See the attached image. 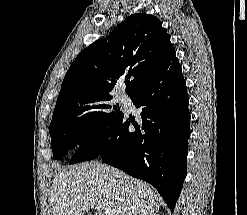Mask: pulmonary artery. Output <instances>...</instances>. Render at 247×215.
<instances>
[{
  "label": "pulmonary artery",
  "instance_id": "pulmonary-artery-1",
  "mask_svg": "<svg viewBox=\"0 0 247 215\" xmlns=\"http://www.w3.org/2000/svg\"><path fill=\"white\" fill-rule=\"evenodd\" d=\"M118 98H119L120 100H124V99H125V96H124V95H119Z\"/></svg>",
  "mask_w": 247,
  "mask_h": 215
}]
</instances>
